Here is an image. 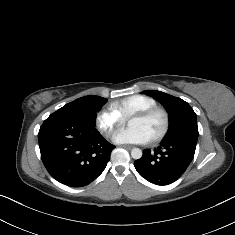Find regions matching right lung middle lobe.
Masks as SVG:
<instances>
[{
	"instance_id": "dd1d6c3e",
	"label": "right lung middle lobe",
	"mask_w": 235,
	"mask_h": 235,
	"mask_svg": "<svg viewBox=\"0 0 235 235\" xmlns=\"http://www.w3.org/2000/svg\"><path fill=\"white\" fill-rule=\"evenodd\" d=\"M106 101V98L100 96L81 97L64 105L52 115L66 116L85 125L95 127L97 112Z\"/></svg>"
}]
</instances>
